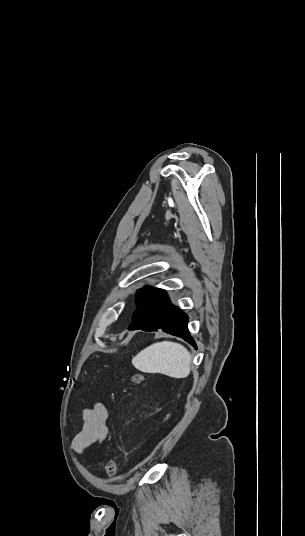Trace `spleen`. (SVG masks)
<instances>
[{
	"mask_svg": "<svg viewBox=\"0 0 305 536\" xmlns=\"http://www.w3.org/2000/svg\"><path fill=\"white\" fill-rule=\"evenodd\" d=\"M192 356L181 344L157 342L132 358L136 370L146 374H164L170 378H187Z\"/></svg>",
	"mask_w": 305,
	"mask_h": 536,
	"instance_id": "1",
	"label": "spleen"
}]
</instances>
